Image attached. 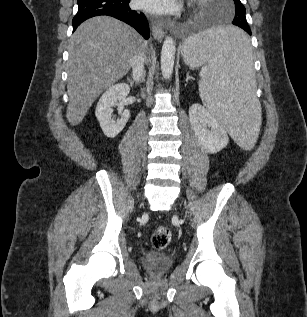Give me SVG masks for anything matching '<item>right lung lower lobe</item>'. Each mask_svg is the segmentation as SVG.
Masks as SVG:
<instances>
[{
  "label": "right lung lower lobe",
  "mask_w": 307,
  "mask_h": 317,
  "mask_svg": "<svg viewBox=\"0 0 307 317\" xmlns=\"http://www.w3.org/2000/svg\"><path fill=\"white\" fill-rule=\"evenodd\" d=\"M130 0H77L78 12L72 20L73 31L86 19L99 15L115 17L134 27L145 39L150 31L143 13L131 10Z\"/></svg>",
  "instance_id": "98d812e1"
}]
</instances>
